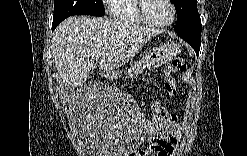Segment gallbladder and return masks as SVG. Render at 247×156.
<instances>
[{
	"instance_id": "1",
	"label": "gallbladder",
	"mask_w": 247,
	"mask_h": 156,
	"mask_svg": "<svg viewBox=\"0 0 247 156\" xmlns=\"http://www.w3.org/2000/svg\"><path fill=\"white\" fill-rule=\"evenodd\" d=\"M64 91H65L66 93H70V92L72 91V85H65Z\"/></svg>"
}]
</instances>
